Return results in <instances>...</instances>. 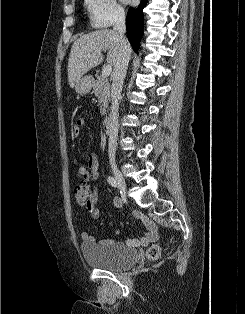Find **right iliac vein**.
<instances>
[{
    "label": "right iliac vein",
    "mask_w": 245,
    "mask_h": 314,
    "mask_svg": "<svg viewBox=\"0 0 245 314\" xmlns=\"http://www.w3.org/2000/svg\"><path fill=\"white\" fill-rule=\"evenodd\" d=\"M112 172L114 174L116 181L118 182L120 186L121 191L125 195L126 194V182L123 175L121 174L119 169L116 167V165H112Z\"/></svg>",
    "instance_id": "right-iliac-vein-1"
}]
</instances>
